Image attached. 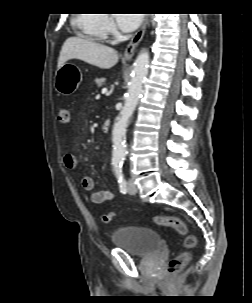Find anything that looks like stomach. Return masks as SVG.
Masks as SVG:
<instances>
[{
  "label": "stomach",
  "instance_id": "0dacf381",
  "mask_svg": "<svg viewBox=\"0 0 252 303\" xmlns=\"http://www.w3.org/2000/svg\"><path fill=\"white\" fill-rule=\"evenodd\" d=\"M82 78V72L77 66L65 63L55 73V89L62 95H70L78 89Z\"/></svg>",
  "mask_w": 252,
  "mask_h": 303
}]
</instances>
